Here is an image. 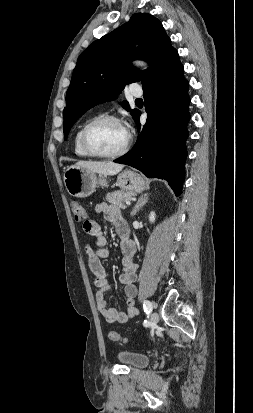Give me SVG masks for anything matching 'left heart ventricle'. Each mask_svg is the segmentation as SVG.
Returning <instances> with one entry per match:
<instances>
[{
  "mask_svg": "<svg viewBox=\"0 0 253 413\" xmlns=\"http://www.w3.org/2000/svg\"><path fill=\"white\" fill-rule=\"evenodd\" d=\"M127 140L121 124L106 122L95 127L90 134V144L98 152L113 153L120 150Z\"/></svg>",
  "mask_w": 253,
  "mask_h": 413,
  "instance_id": "obj_1",
  "label": "left heart ventricle"
}]
</instances>
